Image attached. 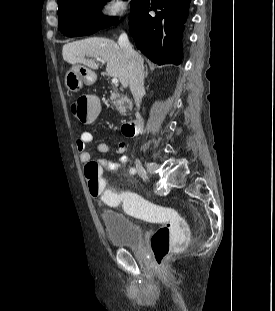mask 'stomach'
Masks as SVG:
<instances>
[{
    "label": "stomach",
    "mask_w": 275,
    "mask_h": 311,
    "mask_svg": "<svg viewBox=\"0 0 275 311\" xmlns=\"http://www.w3.org/2000/svg\"><path fill=\"white\" fill-rule=\"evenodd\" d=\"M96 80L95 74L82 65H73L65 74L64 84L68 91L78 92L84 84L92 85Z\"/></svg>",
    "instance_id": "1"
}]
</instances>
